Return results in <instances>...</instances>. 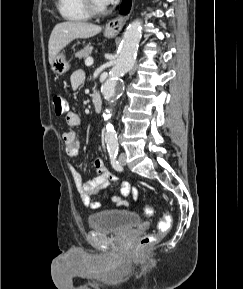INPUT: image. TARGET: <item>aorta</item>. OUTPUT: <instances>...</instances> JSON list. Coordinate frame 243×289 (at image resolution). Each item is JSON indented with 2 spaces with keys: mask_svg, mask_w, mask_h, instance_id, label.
<instances>
[{
  "mask_svg": "<svg viewBox=\"0 0 243 289\" xmlns=\"http://www.w3.org/2000/svg\"><path fill=\"white\" fill-rule=\"evenodd\" d=\"M141 36L142 23L140 20L132 22L126 28L121 41L118 59L116 60L114 67L111 69L108 79L102 85L101 92L107 100L111 101L115 98L120 78L133 67ZM111 116V110L106 109L103 113V118L107 121L105 142L109 152H117V134L113 125L108 122Z\"/></svg>",
  "mask_w": 243,
  "mask_h": 289,
  "instance_id": "obj_1",
  "label": "aorta"
}]
</instances>
